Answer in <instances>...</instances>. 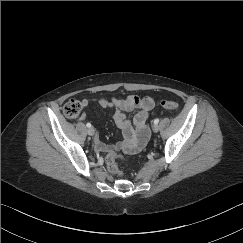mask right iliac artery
Wrapping results in <instances>:
<instances>
[{
    "label": "right iliac artery",
    "instance_id": "1",
    "mask_svg": "<svg viewBox=\"0 0 243 243\" xmlns=\"http://www.w3.org/2000/svg\"><path fill=\"white\" fill-rule=\"evenodd\" d=\"M86 126H87L88 128H90V127H91V124H90V123H87Z\"/></svg>",
    "mask_w": 243,
    "mask_h": 243
}]
</instances>
